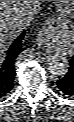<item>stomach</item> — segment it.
<instances>
[{"label":"stomach","instance_id":"obj_1","mask_svg":"<svg viewBox=\"0 0 74 122\" xmlns=\"http://www.w3.org/2000/svg\"><path fill=\"white\" fill-rule=\"evenodd\" d=\"M53 34L59 35L60 37H69L70 35H72V32L65 28H61V30H59V28H56L54 29Z\"/></svg>","mask_w":74,"mask_h":122}]
</instances>
